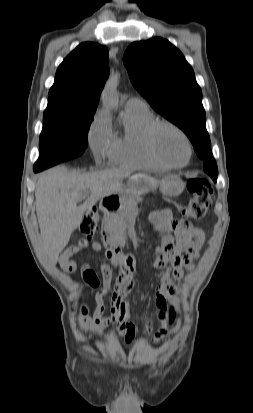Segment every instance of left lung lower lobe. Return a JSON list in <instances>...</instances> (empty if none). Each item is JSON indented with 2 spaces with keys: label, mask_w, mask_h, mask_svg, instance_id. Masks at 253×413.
<instances>
[{
  "label": "left lung lower lobe",
  "mask_w": 253,
  "mask_h": 413,
  "mask_svg": "<svg viewBox=\"0 0 253 413\" xmlns=\"http://www.w3.org/2000/svg\"><path fill=\"white\" fill-rule=\"evenodd\" d=\"M213 180L216 182V181H217V178H213Z\"/></svg>",
  "instance_id": "left-lung-lower-lobe-1"
}]
</instances>
